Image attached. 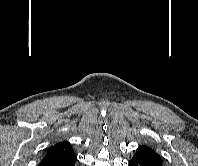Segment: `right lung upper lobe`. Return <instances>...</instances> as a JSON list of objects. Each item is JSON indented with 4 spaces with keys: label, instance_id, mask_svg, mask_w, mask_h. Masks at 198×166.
Segmentation results:
<instances>
[{
    "label": "right lung upper lobe",
    "instance_id": "1",
    "mask_svg": "<svg viewBox=\"0 0 198 166\" xmlns=\"http://www.w3.org/2000/svg\"><path fill=\"white\" fill-rule=\"evenodd\" d=\"M75 155L69 142H59L54 146H51L44 157L43 160H56L63 157Z\"/></svg>",
    "mask_w": 198,
    "mask_h": 166
}]
</instances>
